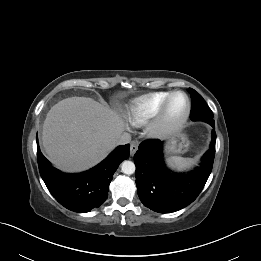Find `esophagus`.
Returning <instances> with one entry per match:
<instances>
[{"label": "esophagus", "mask_w": 261, "mask_h": 261, "mask_svg": "<svg viewBox=\"0 0 261 261\" xmlns=\"http://www.w3.org/2000/svg\"><path fill=\"white\" fill-rule=\"evenodd\" d=\"M138 149V142L133 141L130 145V154L133 156Z\"/></svg>", "instance_id": "esophagus-1"}]
</instances>
